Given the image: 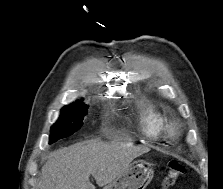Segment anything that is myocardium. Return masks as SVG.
I'll list each match as a JSON object with an SVG mask.
<instances>
[{
    "mask_svg": "<svg viewBox=\"0 0 223 189\" xmlns=\"http://www.w3.org/2000/svg\"><path fill=\"white\" fill-rule=\"evenodd\" d=\"M167 132L170 137H176L180 133V125L175 121L169 122Z\"/></svg>",
    "mask_w": 223,
    "mask_h": 189,
    "instance_id": "obj_1",
    "label": "myocardium"
}]
</instances>
